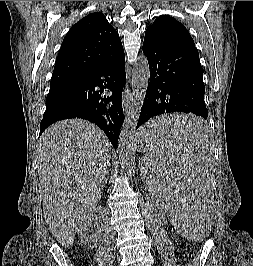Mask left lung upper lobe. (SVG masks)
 <instances>
[{"mask_svg":"<svg viewBox=\"0 0 253 266\" xmlns=\"http://www.w3.org/2000/svg\"><path fill=\"white\" fill-rule=\"evenodd\" d=\"M145 35H160L194 44L187 29L172 17L161 15L146 29Z\"/></svg>","mask_w":253,"mask_h":266,"instance_id":"5c2ea615","label":"left lung upper lobe"}]
</instances>
